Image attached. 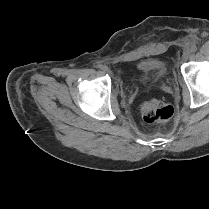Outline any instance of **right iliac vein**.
Here are the masks:
<instances>
[{
    "label": "right iliac vein",
    "mask_w": 209,
    "mask_h": 209,
    "mask_svg": "<svg viewBox=\"0 0 209 209\" xmlns=\"http://www.w3.org/2000/svg\"><path fill=\"white\" fill-rule=\"evenodd\" d=\"M103 70H104V72H106L108 74H112L110 69L108 67H106V66H104Z\"/></svg>",
    "instance_id": "1"
}]
</instances>
